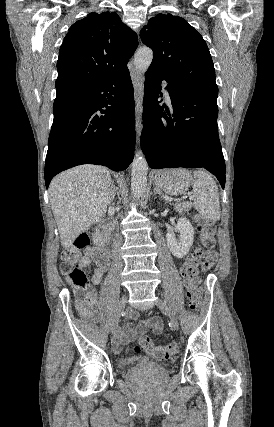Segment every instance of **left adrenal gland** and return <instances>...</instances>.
<instances>
[{"label": "left adrenal gland", "mask_w": 274, "mask_h": 427, "mask_svg": "<svg viewBox=\"0 0 274 427\" xmlns=\"http://www.w3.org/2000/svg\"><path fill=\"white\" fill-rule=\"evenodd\" d=\"M153 192H154V194H158V196H161V198H164V194H162V192H160V190H158V188H154Z\"/></svg>", "instance_id": "left-adrenal-gland-1"}]
</instances>
